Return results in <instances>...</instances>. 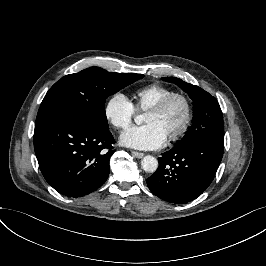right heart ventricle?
<instances>
[{
    "mask_svg": "<svg viewBox=\"0 0 266 266\" xmlns=\"http://www.w3.org/2000/svg\"><path fill=\"white\" fill-rule=\"evenodd\" d=\"M172 92H174L172 88L154 83L136 88L133 92V99L137 109L147 110Z\"/></svg>",
    "mask_w": 266,
    "mask_h": 266,
    "instance_id": "obj_1",
    "label": "right heart ventricle"
}]
</instances>
